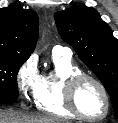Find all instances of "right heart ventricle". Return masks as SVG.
<instances>
[{"label": "right heart ventricle", "instance_id": "right-heart-ventricle-1", "mask_svg": "<svg viewBox=\"0 0 118 123\" xmlns=\"http://www.w3.org/2000/svg\"><path fill=\"white\" fill-rule=\"evenodd\" d=\"M52 60L54 70L40 75L35 105L38 110L51 116L75 118L64 101V81L70 75L81 73V70L69 58L52 55Z\"/></svg>", "mask_w": 118, "mask_h": 123}]
</instances>
